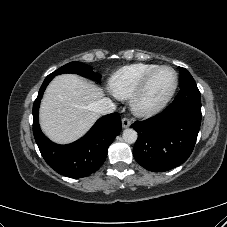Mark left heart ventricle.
I'll return each instance as SVG.
<instances>
[{
  "instance_id": "1",
  "label": "left heart ventricle",
  "mask_w": 227,
  "mask_h": 227,
  "mask_svg": "<svg viewBox=\"0 0 227 227\" xmlns=\"http://www.w3.org/2000/svg\"><path fill=\"white\" fill-rule=\"evenodd\" d=\"M175 74L170 69L160 70L150 82L143 97V103L153 105L160 101L173 87Z\"/></svg>"
}]
</instances>
